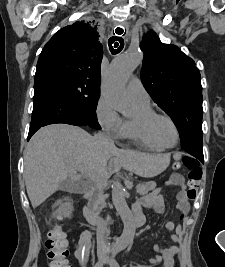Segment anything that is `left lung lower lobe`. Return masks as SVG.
<instances>
[{"label":"left lung lower lobe","instance_id":"0a47b994","mask_svg":"<svg viewBox=\"0 0 225 267\" xmlns=\"http://www.w3.org/2000/svg\"><path fill=\"white\" fill-rule=\"evenodd\" d=\"M191 155L194 156L201 163L204 162V156H203V154H201V153H192Z\"/></svg>","mask_w":225,"mask_h":267}]
</instances>
